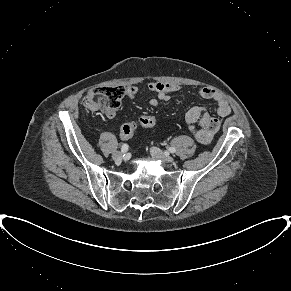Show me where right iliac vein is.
<instances>
[{
  "mask_svg": "<svg viewBox=\"0 0 291 291\" xmlns=\"http://www.w3.org/2000/svg\"><path fill=\"white\" fill-rule=\"evenodd\" d=\"M124 154L123 152H120V151H115L113 154H112V158L115 160V161H120L122 160Z\"/></svg>",
  "mask_w": 291,
  "mask_h": 291,
  "instance_id": "obj_1",
  "label": "right iliac vein"
}]
</instances>
